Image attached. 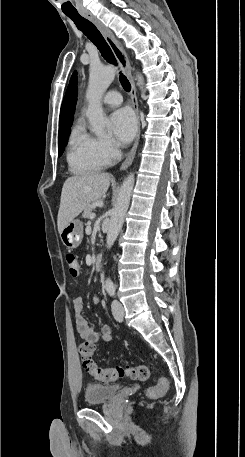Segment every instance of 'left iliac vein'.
<instances>
[{"instance_id":"1","label":"left iliac vein","mask_w":245,"mask_h":457,"mask_svg":"<svg viewBox=\"0 0 245 457\" xmlns=\"http://www.w3.org/2000/svg\"><path fill=\"white\" fill-rule=\"evenodd\" d=\"M112 313L115 320L119 322L123 320L124 308L123 305L117 300H113L112 302Z\"/></svg>"}]
</instances>
